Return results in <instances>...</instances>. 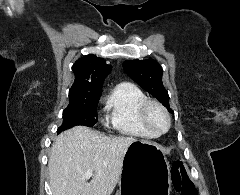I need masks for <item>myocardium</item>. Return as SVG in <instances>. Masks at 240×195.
Here are the masks:
<instances>
[{
	"label": "myocardium",
	"mask_w": 240,
	"mask_h": 195,
	"mask_svg": "<svg viewBox=\"0 0 240 195\" xmlns=\"http://www.w3.org/2000/svg\"><path fill=\"white\" fill-rule=\"evenodd\" d=\"M152 108L158 109L165 117L166 126L163 130H157L150 121V111ZM140 120L143 126L149 131L153 132L156 136L166 133L170 128V115L167 109L158 101L145 100L139 110Z\"/></svg>",
	"instance_id": "1"
}]
</instances>
